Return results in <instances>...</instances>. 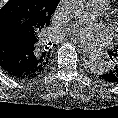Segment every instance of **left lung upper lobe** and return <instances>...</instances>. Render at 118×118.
<instances>
[{"label":"left lung upper lobe","instance_id":"5c2ea615","mask_svg":"<svg viewBox=\"0 0 118 118\" xmlns=\"http://www.w3.org/2000/svg\"><path fill=\"white\" fill-rule=\"evenodd\" d=\"M116 1H118V0H116ZM109 54L110 55H116V54H118V46L114 50L109 51Z\"/></svg>","mask_w":118,"mask_h":118}]
</instances>
